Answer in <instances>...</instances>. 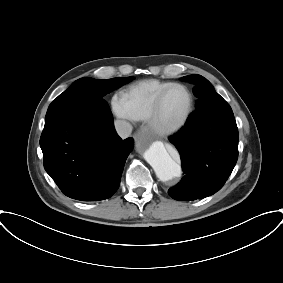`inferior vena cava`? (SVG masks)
Segmentation results:
<instances>
[{
	"label": "inferior vena cava",
	"instance_id": "602c4592",
	"mask_svg": "<svg viewBox=\"0 0 283 283\" xmlns=\"http://www.w3.org/2000/svg\"><path fill=\"white\" fill-rule=\"evenodd\" d=\"M114 125H115L117 134L121 138L125 139L130 136L132 132V125L129 122L125 120H116L114 122Z\"/></svg>",
	"mask_w": 283,
	"mask_h": 283
}]
</instances>
